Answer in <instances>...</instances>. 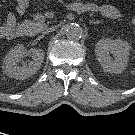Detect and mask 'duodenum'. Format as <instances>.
<instances>
[{
    "instance_id": "obj_1",
    "label": "duodenum",
    "mask_w": 135,
    "mask_h": 135,
    "mask_svg": "<svg viewBox=\"0 0 135 135\" xmlns=\"http://www.w3.org/2000/svg\"><path fill=\"white\" fill-rule=\"evenodd\" d=\"M25 34L24 29L17 28L16 35L14 37H20Z\"/></svg>"
}]
</instances>
